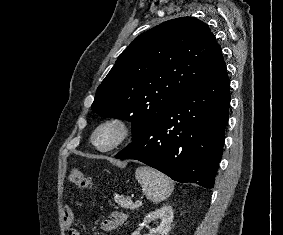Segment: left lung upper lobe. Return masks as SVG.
Masks as SVG:
<instances>
[{
  "label": "left lung upper lobe",
  "instance_id": "obj_1",
  "mask_svg": "<svg viewBox=\"0 0 283 235\" xmlns=\"http://www.w3.org/2000/svg\"><path fill=\"white\" fill-rule=\"evenodd\" d=\"M225 64L209 27L193 17L166 21L139 35L99 85L92 110L132 121V140L188 89Z\"/></svg>",
  "mask_w": 283,
  "mask_h": 235
}]
</instances>
